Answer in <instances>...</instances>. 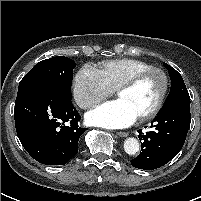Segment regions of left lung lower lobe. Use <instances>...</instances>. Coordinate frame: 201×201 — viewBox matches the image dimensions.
Masks as SVG:
<instances>
[{
  "label": "left lung lower lobe",
  "instance_id": "0a47b994",
  "mask_svg": "<svg viewBox=\"0 0 201 201\" xmlns=\"http://www.w3.org/2000/svg\"><path fill=\"white\" fill-rule=\"evenodd\" d=\"M190 98L164 103L151 122V130L145 135L139 130L141 152L132 166L139 169H157L172 160L181 150L190 127Z\"/></svg>",
  "mask_w": 201,
  "mask_h": 201
}]
</instances>
